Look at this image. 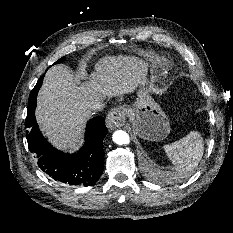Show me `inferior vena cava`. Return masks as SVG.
<instances>
[{"label": "inferior vena cava", "mask_w": 233, "mask_h": 233, "mask_svg": "<svg viewBox=\"0 0 233 233\" xmlns=\"http://www.w3.org/2000/svg\"><path fill=\"white\" fill-rule=\"evenodd\" d=\"M104 106V103L102 101H96L93 105H92V110L93 111H100Z\"/></svg>", "instance_id": "obj_1"}]
</instances>
